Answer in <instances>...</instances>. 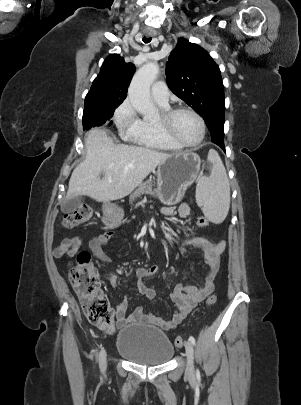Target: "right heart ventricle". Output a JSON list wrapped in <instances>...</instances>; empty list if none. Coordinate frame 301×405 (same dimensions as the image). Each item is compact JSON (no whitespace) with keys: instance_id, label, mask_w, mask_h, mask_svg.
I'll list each match as a JSON object with an SVG mask.
<instances>
[{"instance_id":"e07e8e85","label":"right heart ventricle","mask_w":301,"mask_h":405,"mask_svg":"<svg viewBox=\"0 0 301 405\" xmlns=\"http://www.w3.org/2000/svg\"><path fill=\"white\" fill-rule=\"evenodd\" d=\"M128 137L138 145L163 151H177L181 147L165 138L158 130L156 121L139 119Z\"/></svg>"}]
</instances>
